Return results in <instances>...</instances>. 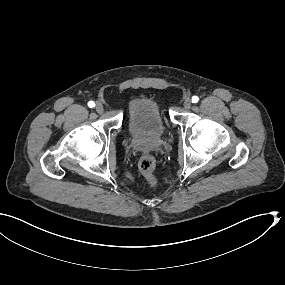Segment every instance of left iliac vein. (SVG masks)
Here are the masks:
<instances>
[{
  "instance_id": "left-iliac-vein-1",
  "label": "left iliac vein",
  "mask_w": 285,
  "mask_h": 285,
  "mask_svg": "<svg viewBox=\"0 0 285 285\" xmlns=\"http://www.w3.org/2000/svg\"><path fill=\"white\" fill-rule=\"evenodd\" d=\"M183 105H184V108L190 109V107H191V100H190L189 98H186V99L184 100Z\"/></svg>"
}]
</instances>
